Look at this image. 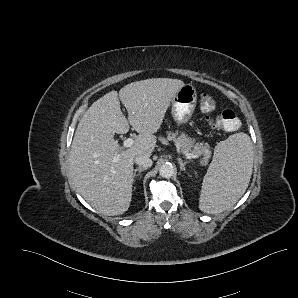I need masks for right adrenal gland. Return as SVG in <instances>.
<instances>
[{
  "instance_id": "2a0ac1e0",
  "label": "right adrenal gland",
  "mask_w": 298,
  "mask_h": 298,
  "mask_svg": "<svg viewBox=\"0 0 298 298\" xmlns=\"http://www.w3.org/2000/svg\"><path fill=\"white\" fill-rule=\"evenodd\" d=\"M145 170H147V168L143 167V166H139L138 168H136L132 175V181H134V178H135L137 172H139V174H140L141 172H143Z\"/></svg>"
}]
</instances>
